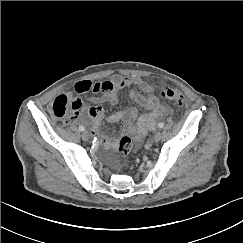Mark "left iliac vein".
<instances>
[{
    "label": "left iliac vein",
    "mask_w": 243,
    "mask_h": 243,
    "mask_svg": "<svg viewBox=\"0 0 243 243\" xmlns=\"http://www.w3.org/2000/svg\"><path fill=\"white\" fill-rule=\"evenodd\" d=\"M161 139V133L160 132H156L153 136V141L154 142H158Z\"/></svg>",
    "instance_id": "4c4485c4"
}]
</instances>
